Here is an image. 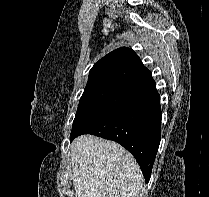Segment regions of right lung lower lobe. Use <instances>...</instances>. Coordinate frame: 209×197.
Masks as SVG:
<instances>
[{
    "label": "right lung lower lobe",
    "mask_w": 209,
    "mask_h": 197,
    "mask_svg": "<svg viewBox=\"0 0 209 197\" xmlns=\"http://www.w3.org/2000/svg\"><path fill=\"white\" fill-rule=\"evenodd\" d=\"M161 119L160 96L154 86L71 133L70 140L93 134L118 142L132 153L148 182L160 144Z\"/></svg>",
    "instance_id": "obj_1"
}]
</instances>
